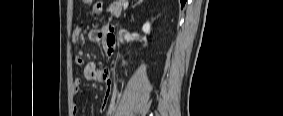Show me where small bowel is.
I'll return each mask as SVG.
<instances>
[{"label": "small bowel", "instance_id": "c3829d8e", "mask_svg": "<svg viewBox=\"0 0 283 116\" xmlns=\"http://www.w3.org/2000/svg\"><path fill=\"white\" fill-rule=\"evenodd\" d=\"M93 10L95 13H100L102 11V2L94 1ZM72 41L77 43L81 42L83 39V32L81 28H76L72 33ZM88 37L93 42H98L104 44L106 49L112 52L116 46V39L113 35V28L110 25H105L99 29H92L88 33ZM76 63L78 65H83V77L76 78L73 86V94L75 97L81 96L85 93V90L81 86L82 79L87 81H95L105 83L107 88L105 90L104 98L102 100V105L100 108L101 114L107 109L108 103L114 94L113 81L110 76V72L106 68L99 67L97 63L90 61L86 62L82 55L76 57ZM76 115L79 112V107L77 104L74 105L73 109Z\"/></svg>", "mask_w": 283, "mask_h": 116}]
</instances>
